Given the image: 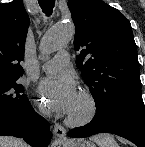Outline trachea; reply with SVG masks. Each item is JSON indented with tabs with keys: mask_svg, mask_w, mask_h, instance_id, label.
<instances>
[{
	"mask_svg": "<svg viewBox=\"0 0 145 147\" xmlns=\"http://www.w3.org/2000/svg\"><path fill=\"white\" fill-rule=\"evenodd\" d=\"M38 2H39L40 7L42 8L43 12L46 15L52 14L55 0H39Z\"/></svg>",
	"mask_w": 145,
	"mask_h": 147,
	"instance_id": "obj_1",
	"label": "trachea"
}]
</instances>
